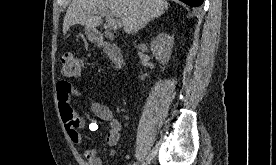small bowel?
<instances>
[{
  "label": "small bowel",
  "instance_id": "small-bowel-1",
  "mask_svg": "<svg viewBox=\"0 0 276 165\" xmlns=\"http://www.w3.org/2000/svg\"><path fill=\"white\" fill-rule=\"evenodd\" d=\"M72 96L85 98L95 116L108 123L105 140L109 146H114L118 143L122 129L121 123L108 106L85 96L81 91L77 90L71 82L61 80L57 83L56 97L59 113L69 139L73 144L81 147L87 165H102V160L97 155L96 150L84 144L80 130L85 126V120L73 109L71 105ZM89 129L91 131L97 130L98 123L91 122L89 124ZM114 154L115 152L112 151L111 155L113 156Z\"/></svg>",
  "mask_w": 276,
  "mask_h": 165
}]
</instances>
